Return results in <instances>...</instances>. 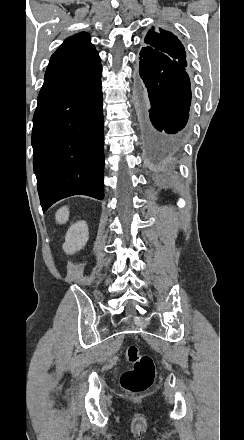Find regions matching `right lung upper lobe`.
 <instances>
[{
    "label": "right lung upper lobe",
    "instance_id": "cb5924a9",
    "mask_svg": "<svg viewBox=\"0 0 244 440\" xmlns=\"http://www.w3.org/2000/svg\"><path fill=\"white\" fill-rule=\"evenodd\" d=\"M100 62V57L86 32L67 38L52 55L46 74L70 69L89 68Z\"/></svg>",
    "mask_w": 244,
    "mask_h": 440
}]
</instances>
